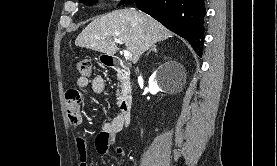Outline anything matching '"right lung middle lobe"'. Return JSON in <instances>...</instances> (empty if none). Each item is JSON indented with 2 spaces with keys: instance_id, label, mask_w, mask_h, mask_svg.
I'll list each match as a JSON object with an SVG mask.
<instances>
[{
  "instance_id": "obj_1",
  "label": "right lung middle lobe",
  "mask_w": 277,
  "mask_h": 166,
  "mask_svg": "<svg viewBox=\"0 0 277 166\" xmlns=\"http://www.w3.org/2000/svg\"><path fill=\"white\" fill-rule=\"evenodd\" d=\"M127 0H123L121 3L124 4V2ZM80 3H84L85 5L89 6L96 2V0H79Z\"/></svg>"
}]
</instances>
